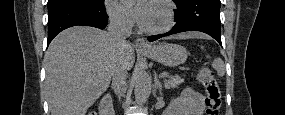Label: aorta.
I'll return each instance as SVG.
<instances>
[{
	"label": "aorta",
	"instance_id": "762f6f07",
	"mask_svg": "<svg viewBox=\"0 0 285 115\" xmlns=\"http://www.w3.org/2000/svg\"><path fill=\"white\" fill-rule=\"evenodd\" d=\"M134 88L135 101L138 105H142L147 101L151 92V79L142 68L136 73Z\"/></svg>",
	"mask_w": 285,
	"mask_h": 115
}]
</instances>
